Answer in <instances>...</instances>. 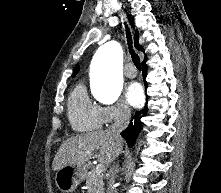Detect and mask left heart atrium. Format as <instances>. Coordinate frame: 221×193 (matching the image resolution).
Returning <instances> with one entry per match:
<instances>
[{"instance_id": "obj_1", "label": "left heart atrium", "mask_w": 221, "mask_h": 193, "mask_svg": "<svg viewBox=\"0 0 221 193\" xmlns=\"http://www.w3.org/2000/svg\"><path fill=\"white\" fill-rule=\"evenodd\" d=\"M125 100L134 107L141 105L143 101L142 88L138 83H131L125 90Z\"/></svg>"}]
</instances>
